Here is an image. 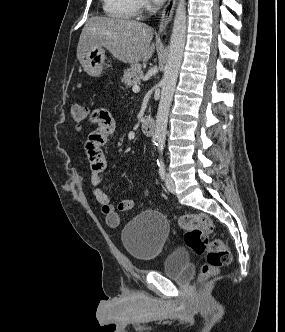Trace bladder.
<instances>
[{
  "mask_svg": "<svg viewBox=\"0 0 285 332\" xmlns=\"http://www.w3.org/2000/svg\"><path fill=\"white\" fill-rule=\"evenodd\" d=\"M170 234L167 218L156 210L137 214L121 232L125 250L135 259L149 261L160 255ZM164 272L170 278L185 280L191 273V259L184 249H176L167 256Z\"/></svg>",
  "mask_w": 285,
  "mask_h": 332,
  "instance_id": "1",
  "label": "bladder"
}]
</instances>
